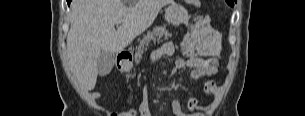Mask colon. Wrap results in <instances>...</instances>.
Wrapping results in <instances>:
<instances>
[{"mask_svg":"<svg viewBox=\"0 0 305 116\" xmlns=\"http://www.w3.org/2000/svg\"><path fill=\"white\" fill-rule=\"evenodd\" d=\"M226 2L228 3L229 1L227 0ZM137 115H138V109L135 108H128L110 114V116H137Z\"/></svg>","mask_w":305,"mask_h":116,"instance_id":"5ec220e1","label":"colon"}]
</instances>
